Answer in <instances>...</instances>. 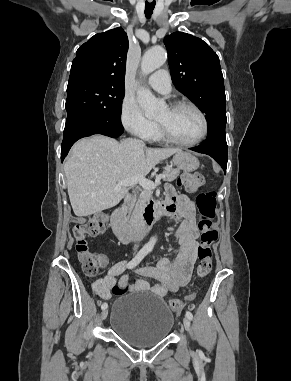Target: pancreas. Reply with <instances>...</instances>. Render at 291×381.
I'll return each mask as SVG.
<instances>
[{"mask_svg":"<svg viewBox=\"0 0 291 381\" xmlns=\"http://www.w3.org/2000/svg\"><path fill=\"white\" fill-rule=\"evenodd\" d=\"M179 173L178 169L166 167L164 180L171 182L176 179ZM152 193V190L144 189L137 198H134L128 209V220L131 224H136L139 221L144 206L152 198Z\"/></svg>","mask_w":291,"mask_h":381,"instance_id":"cf45deb5","label":"pancreas"}]
</instances>
